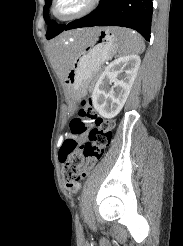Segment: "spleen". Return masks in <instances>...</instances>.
Masks as SVG:
<instances>
[{
    "mask_svg": "<svg viewBox=\"0 0 183 246\" xmlns=\"http://www.w3.org/2000/svg\"><path fill=\"white\" fill-rule=\"evenodd\" d=\"M118 37L121 42L120 53L122 54L141 53L145 49V44L142 37L135 31L122 28L118 33ZM95 55L96 52H93L90 57L84 56L80 61V66H86L88 63H90V59L95 57Z\"/></svg>",
    "mask_w": 183,
    "mask_h": 246,
    "instance_id": "3e777b00",
    "label": "spleen"
}]
</instances>
